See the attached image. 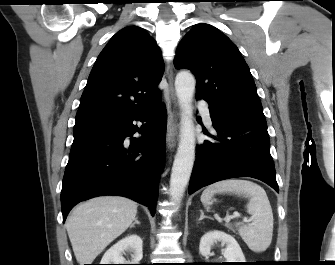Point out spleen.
<instances>
[{"label":"spleen","mask_w":335,"mask_h":265,"mask_svg":"<svg viewBox=\"0 0 335 265\" xmlns=\"http://www.w3.org/2000/svg\"><path fill=\"white\" fill-rule=\"evenodd\" d=\"M216 193H233L249 199L247 212L252 224H239V234L254 252H264L271 244L273 235V212L265 190L258 184L241 179H229L208 186L201 195L204 206L210 205Z\"/></svg>","instance_id":"3e777b00"}]
</instances>
